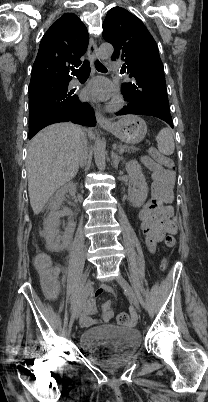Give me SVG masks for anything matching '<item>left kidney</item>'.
Masks as SVG:
<instances>
[{
	"label": "left kidney",
	"mask_w": 208,
	"mask_h": 402,
	"mask_svg": "<svg viewBox=\"0 0 208 402\" xmlns=\"http://www.w3.org/2000/svg\"><path fill=\"white\" fill-rule=\"evenodd\" d=\"M125 170L129 176L128 200L134 208H140L148 196V186L142 168L136 160H131L125 164Z\"/></svg>",
	"instance_id": "5707ae66"
}]
</instances>
